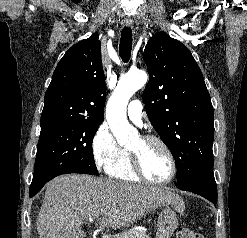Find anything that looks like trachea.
Wrapping results in <instances>:
<instances>
[{
  "mask_svg": "<svg viewBox=\"0 0 247 238\" xmlns=\"http://www.w3.org/2000/svg\"><path fill=\"white\" fill-rule=\"evenodd\" d=\"M132 49V30L130 27H124L121 32L119 45V55L124 62H128Z\"/></svg>",
  "mask_w": 247,
  "mask_h": 238,
  "instance_id": "3493384b",
  "label": "trachea"
}]
</instances>
